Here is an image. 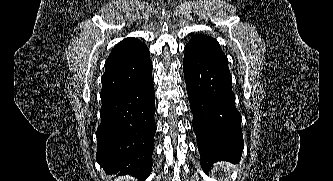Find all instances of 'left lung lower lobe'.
Returning <instances> with one entry per match:
<instances>
[{
	"label": "left lung lower lobe",
	"instance_id": "0a47b994",
	"mask_svg": "<svg viewBox=\"0 0 333 181\" xmlns=\"http://www.w3.org/2000/svg\"><path fill=\"white\" fill-rule=\"evenodd\" d=\"M183 68L202 169L238 163L244 142L228 66L185 47Z\"/></svg>",
	"mask_w": 333,
	"mask_h": 181
}]
</instances>
